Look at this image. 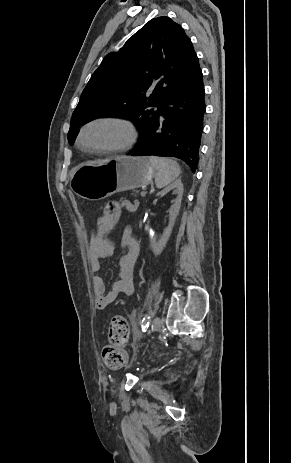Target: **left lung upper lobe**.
<instances>
[{
	"instance_id": "1",
	"label": "left lung upper lobe",
	"mask_w": 291,
	"mask_h": 463,
	"mask_svg": "<svg viewBox=\"0 0 291 463\" xmlns=\"http://www.w3.org/2000/svg\"><path fill=\"white\" fill-rule=\"evenodd\" d=\"M199 68L179 24L168 17L150 20L118 52L106 55L91 76L71 117L69 144L80 126L108 115L130 119L141 137L169 93Z\"/></svg>"
}]
</instances>
